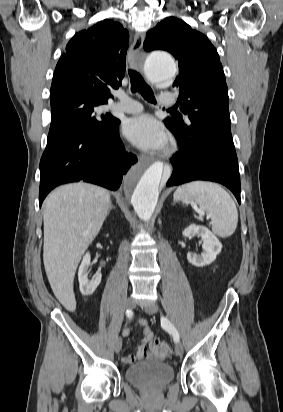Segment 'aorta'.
Wrapping results in <instances>:
<instances>
[{
	"mask_svg": "<svg viewBox=\"0 0 283 412\" xmlns=\"http://www.w3.org/2000/svg\"><path fill=\"white\" fill-rule=\"evenodd\" d=\"M144 72L152 84L169 85L176 76L177 67L168 53L153 52L144 62ZM163 172V163L155 162L145 168L132 169L125 178L124 189L131 196L133 208L146 222L151 219L157 205Z\"/></svg>",
	"mask_w": 283,
	"mask_h": 412,
	"instance_id": "762f6f07",
	"label": "aorta"
}]
</instances>
